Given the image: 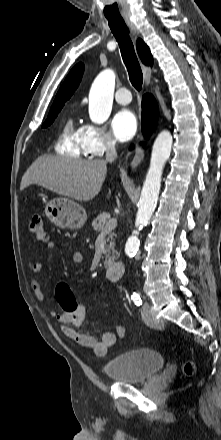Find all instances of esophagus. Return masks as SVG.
Returning a JSON list of instances; mask_svg holds the SVG:
<instances>
[{
	"label": "esophagus",
	"mask_w": 221,
	"mask_h": 440,
	"mask_svg": "<svg viewBox=\"0 0 221 440\" xmlns=\"http://www.w3.org/2000/svg\"><path fill=\"white\" fill-rule=\"evenodd\" d=\"M124 20H125L127 26L129 27L131 33L135 37H137L138 31H137L134 23L131 21V19L129 17H125ZM143 73H144L145 86L147 87L150 83V71L147 67L143 66ZM142 140H143V137H142V135H140V141H142ZM143 158H144V150L140 145H138L136 148V151H135V155H134V157L131 161V164H130L131 168L135 169L142 162Z\"/></svg>",
	"instance_id": "esophagus-1"
}]
</instances>
